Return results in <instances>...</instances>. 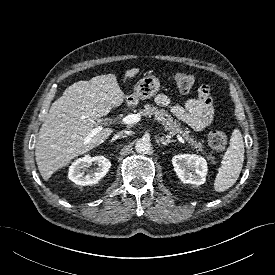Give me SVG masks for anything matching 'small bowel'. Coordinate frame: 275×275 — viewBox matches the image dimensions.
Segmentation results:
<instances>
[{
	"mask_svg": "<svg viewBox=\"0 0 275 275\" xmlns=\"http://www.w3.org/2000/svg\"><path fill=\"white\" fill-rule=\"evenodd\" d=\"M155 102L161 107L169 108L175 117L196 131L204 129L213 120L214 109L208 86L200 87L197 97L189 98L183 103H175L166 94L157 95Z\"/></svg>",
	"mask_w": 275,
	"mask_h": 275,
	"instance_id": "1",
	"label": "small bowel"
}]
</instances>
